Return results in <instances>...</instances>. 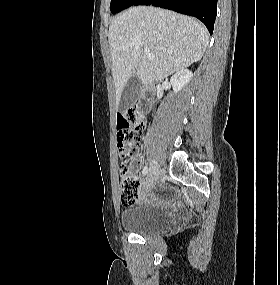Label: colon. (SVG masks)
I'll list each match as a JSON object with an SVG mask.
<instances>
[{"label":"colon","mask_w":280,"mask_h":285,"mask_svg":"<svg viewBox=\"0 0 280 285\" xmlns=\"http://www.w3.org/2000/svg\"><path fill=\"white\" fill-rule=\"evenodd\" d=\"M117 142L118 149L124 158H136L140 149L145 131V120L142 114L135 108H128L117 117ZM121 202L131 206L136 202L138 195V182L128 173L125 165L121 166Z\"/></svg>","instance_id":"1"}]
</instances>
